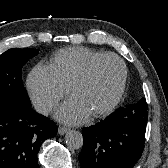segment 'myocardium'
I'll return each mask as SVG.
<instances>
[{
	"mask_svg": "<svg viewBox=\"0 0 168 168\" xmlns=\"http://www.w3.org/2000/svg\"><path fill=\"white\" fill-rule=\"evenodd\" d=\"M106 59H114L116 60L121 68V79L119 82V86L118 89L113 97V99L109 102V104L107 106H105L104 108H102L101 110H98L96 112L92 113V116L95 118H99V117H103L106 116L108 114H110L120 103L123 94L125 92V88H126V82H127V67L125 62L122 60V58H120L118 55L114 54V53H104L96 58H94L93 60H91L87 66L85 67V69L83 70V72L75 79V81L72 83L71 87H70V92L73 94L74 91L81 86L82 84H84L86 81H88L95 69V67L102 61L106 60Z\"/></svg>",
	"mask_w": 168,
	"mask_h": 168,
	"instance_id": "obj_1",
	"label": "myocardium"
}]
</instances>
